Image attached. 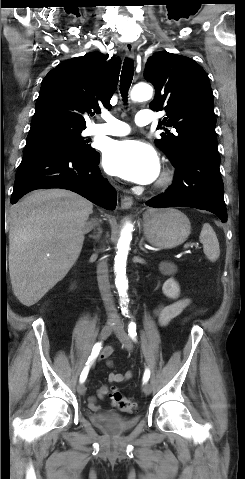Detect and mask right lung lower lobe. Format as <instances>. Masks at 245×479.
Returning a JSON list of instances; mask_svg holds the SVG:
<instances>
[{
    "label": "right lung lower lobe",
    "mask_w": 245,
    "mask_h": 479,
    "mask_svg": "<svg viewBox=\"0 0 245 479\" xmlns=\"http://www.w3.org/2000/svg\"><path fill=\"white\" fill-rule=\"evenodd\" d=\"M98 152L89 154L67 146L46 147L23 156L10 202L36 189L63 188L113 210L116 191L98 167Z\"/></svg>",
    "instance_id": "right-lung-lower-lobe-1"
}]
</instances>
